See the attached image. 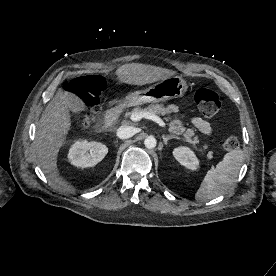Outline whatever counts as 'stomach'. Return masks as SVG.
Instances as JSON below:
<instances>
[{
  "mask_svg": "<svg viewBox=\"0 0 276 276\" xmlns=\"http://www.w3.org/2000/svg\"><path fill=\"white\" fill-rule=\"evenodd\" d=\"M187 89V83L182 77L170 76L160 80L147 89L129 93L123 102L130 106L165 102L170 99L182 97Z\"/></svg>",
  "mask_w": 276,
  "mask_h": 276,
  "instance_id": "obj_1",
  "label": "stomach"
}]
</instances>
